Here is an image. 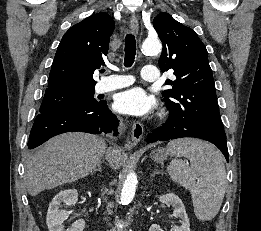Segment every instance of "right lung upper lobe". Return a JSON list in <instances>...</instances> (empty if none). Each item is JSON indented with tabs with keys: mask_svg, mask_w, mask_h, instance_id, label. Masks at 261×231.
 <instances>
[{
	"mask_svg": "<svg viewBox=\"0 0 261 231\" xmlns=\"http://www.w3.org/2000/svg\"><path fill=\"white\" fill-rule=\"evenodd\" d=\"M113 30V19L103 12L72 26L58 46L46 90L94 88L92 76L105 64Z\"/></svg>",
	"mask_w": 261,
	"mask_h": 231,
	"instance_id": "1",
	"label": "right lung upper lobe"
}]
</instances>
